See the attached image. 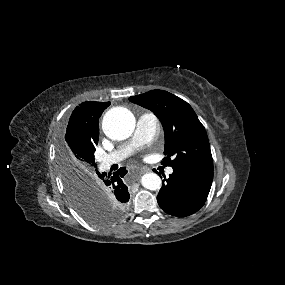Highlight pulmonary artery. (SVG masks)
<instances>
[{
	"label": "pulmonary artery",
	"instance_id": "1",
	"mask_svg": "<svg viewBox=\"0 0 285 285\" xmlns=\"http://www.w3.org/2000/svg\"><path fill=\"white\" fill-rule=\"evenodd\" d=\"M159 133V122L157 117L152 113L141 115L137 121L135 132L131 140L120 146L109 154H105L98 158V162L102 169H106L111 165L118 163L128 157L136 148L151 142ZM168 174L173 173L172 168L167 169Z\"/></svg>",
	"mask_w": 285,
	"mask_h": 285
}]
</instances>
